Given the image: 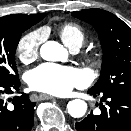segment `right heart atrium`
Returning <instances> with one entry per match:
<instances>
[{"label": "right heart atrium", "mask_w": 131, "mask_h": 131, "mask_svg": "<svg viewBox=\"0 0 131 131\" xmlns=\"http://www.w3.org/2000/svg\"><path fill=\"white\" fill-rule=\"evenodd\" d=\"M43 38L42 30L31 31L20 38L17 44V54L21 62L30 63L38 57Z\"/></svg>", "instance_id": "right-heart-atrium-1"}]
</instances>
